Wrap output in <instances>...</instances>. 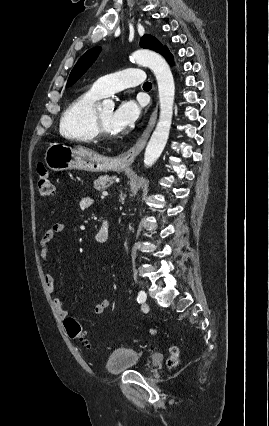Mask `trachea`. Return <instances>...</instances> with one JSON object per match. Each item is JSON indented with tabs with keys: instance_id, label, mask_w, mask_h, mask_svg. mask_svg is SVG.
Masks as SVG:
<instances>
[{
	"instance_id": "trachea-1",
	"label": "trachea",
	"mask_w": 269,
	"mask_h": 426,
	"mask_svg": "<svg viewBox=\"0 0 269 426\" xmlns=\"http://www.w3.org/2000/svg\"><path fill=\"white\" fill-rule=\"evenodd\" d=\"M152 84L150 82H145L143 88H151Z\"/></svg>"
}]
</instances>
